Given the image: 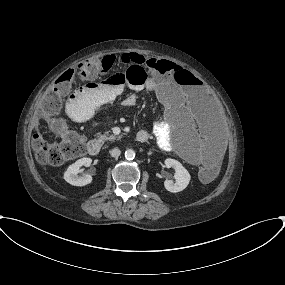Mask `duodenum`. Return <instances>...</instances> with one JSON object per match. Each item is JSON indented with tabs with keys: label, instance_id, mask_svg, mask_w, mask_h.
<instances>
[{
	"label": "duodenum",
	"instance_id": "1",
	"mask_svg": "<svg viewBox=\"0 0 285 285\" xmlns=\"http://www.w3.org/2000/svg\"><path fill=\"white\" fill-rule=\"evenodd\" d=\"M148 139L146 131L141 130L136 135V140L139 142H145ZM101 149L100 142L98 140H91L87 145V151L90 155L96 156L99 154Z\"/></svg>",
	"mask_w": 285,
	"mask_h": 285
}]
</instances>
